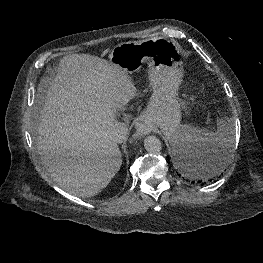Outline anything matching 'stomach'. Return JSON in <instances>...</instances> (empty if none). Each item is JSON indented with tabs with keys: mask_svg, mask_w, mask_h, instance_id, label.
I'll use <instances>...</instances> for the list:
<instances>
[{
	"mask_svg": "<svg viewBox=\"0 0 263 263\" xmlns=\"http://www.w3.org/2000/svg\"><path fill=\"white\" fill-rule=\"evenodd\" d=\"M109 59L127 74L138 72L147 63L153 93L142 119L172 138L179 129L184 108L177 93L183 77L179 45L165 38L124 42L112 49Z\"/></svg>",
	"mask_w": 263,
	"mask_h": 263,
	"instance_id": "1",
	"label": "stomach"
}]
</instances>
